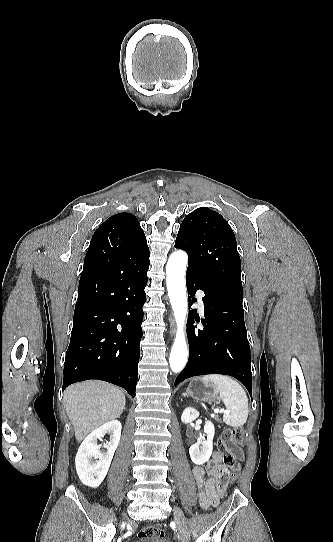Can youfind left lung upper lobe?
I'll use <instances>...</instances> for the list:
<instances>
[{"label":"left lung upper lobe","instance_id":"obj_1","mask_svg":"<svg viewBox=\"0 0 333 542\" xmlns=\"http://www.w3.org/2000/svg\"><path fill=\"white\" fill-rule=\"evenodd\" d=\"M189 257L187 272L206 285L242 294L241 263L235 235L217 212L200 207L183 220L175 242Z\"/></svg>","mask_w":333,"mask_h":542}]
</instances>
